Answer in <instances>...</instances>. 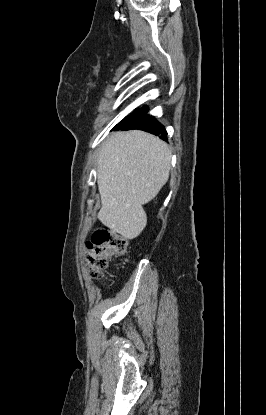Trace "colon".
I'll use <instances>...</instances> for the list:
<instances>
[{
	"label": "colon",
	"mask_w": 266,
	"mask_h": 415,
	"mask_svg": "<svg viewBox=\"0 0 266 415\" xmlns=\"http://www.w3.org/2000/svg\"><path fill=\"white\" fill-rule=\"evenodd\" d=\"M127 239L107 229H97L86 243L88 271L97 278L113 258L121 257L127 249Z\"/></svg>",
	"instance_id": "colon-1"
}]
</instances>
